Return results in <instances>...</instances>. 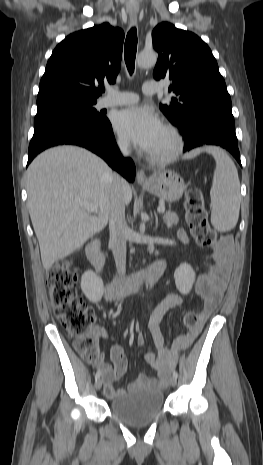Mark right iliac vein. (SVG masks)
<instances>
[{
    "label": "right iliac vein",
    "mask_w": 263,
    "mask_h": 465,
    "mask_svg": "<svg viewBox=\"0 0 263 465\" xmlns=\"http://www.w3.org/2000/svg\"><path fill=\"white\" fill-rule=\"evenodd\" d=\"M101 387H102V380L99 378V379L96 380L95 389L100 390Z\"/></svg>",
    "instance_id": "right-iliac-vein-1"
}]
</instances>
